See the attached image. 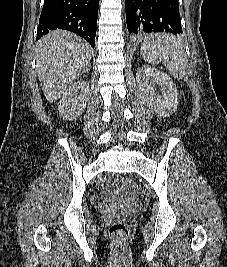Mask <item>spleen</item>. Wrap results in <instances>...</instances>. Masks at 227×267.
<instances>
[{"label": "spleen", "instance_id": "3e777b00", "mask_svg": "<svg viewBox=\"0 0 227 267\" xmlns=\"http://www.w3.org/2000/svg\"><path fill=\"white\" fill-rule=\"evenodd\" d=\"M142 54L150 63L163 61L169 72L177 79L185 73V52L183 42L170 34H162L144 41Z\"/></svg>", "mask_w": 227, "mask_h": 267}]
</instances>
